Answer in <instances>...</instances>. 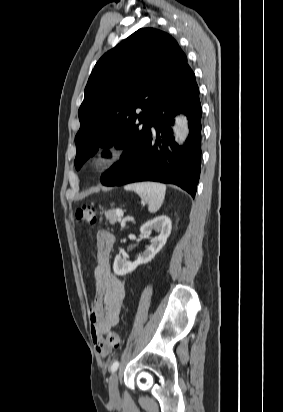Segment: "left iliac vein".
I'll return each mask as SVG.
<instances>
[{
    "mask_svg": "<svg viewBox=\"0 0 283 412\" xmlns=\"http://www.w3.org/2000/svg\"><path fill=\"white\" fill-rule=\"evenodd\" d=\"M118 379L119 373H114L109 379V397L112 402H117L120 399L119 390H118Z\"/></svg>",
    "mask_w": 283,
    "mask_h": 412,
    "instance_id": "obj_1",
    "label": "left iliac vein"
}]
</instances>
